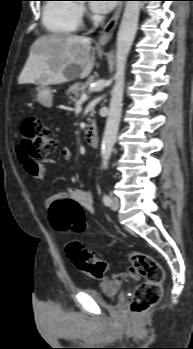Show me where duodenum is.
Listing matches in <instances>:
<instances>
[{
	"mask_svg": "<svg viewBox=\"0 0 193 349\" xmlns=\"http://www.w3.org/2000/svg\"><path fill=\"white\" fill-rule=\"evenodd\" d=\"M85 141L89 148L96 149L98 146V133L94 121L90 122L85 131Z\"/></svg>",
	"mask_w": 193,
	"mask_h": 349,
	"instance_id": "obj_1",
	"label": "duodenum"
}]
</instances>
